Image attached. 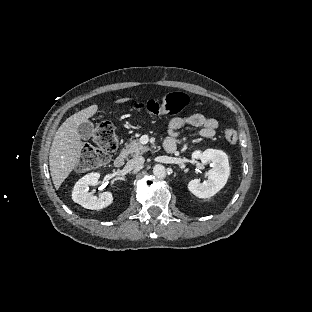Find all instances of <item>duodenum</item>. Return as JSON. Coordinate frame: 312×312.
Returning <instances> with one entry per match:
<instances>
[{"label":"duodenum","mask_w":312,"mask_h":312,"mask_svg":"<svg viewBox=\"0 0 312 312\" xmlns=\"http://www.w3.org/2000/svg\"><path fill=\"white\" fill-rule=\"evenodd\" d=\"M164 149L168 153H175L177 150V147L174 143L165 142L164 143ZM127 159V152L120 153L114 160V165L117 168H122L125 165Z\"/></svg>","instance_id":"1"}]
</instances>
